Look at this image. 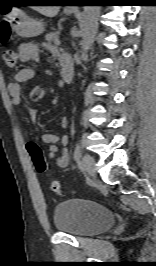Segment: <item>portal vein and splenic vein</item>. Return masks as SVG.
<instances>
[{
	"label": "portal vein and splenic vein",
	"mask_w": 156,
	"mask_h": 266,
	"mask_svg": "<svg viewBox=\"0 0 156 266\" xmlns=\"http://www.w3.org/2000/svg\"><path fill=\"white\" fill-rule=\"evenodd\" d=\"M56 45L59 46V45H60V41H57V42H56Z\"/></svg>",
	"instance_id": "obj_1"
}]
</instances>
